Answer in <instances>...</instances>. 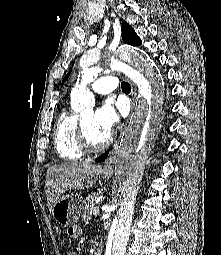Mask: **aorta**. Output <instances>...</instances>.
Masks as SVG:
<instances>
[{"label":"aorta","mask_w":221,"mask_h":255,"mask_svg":"<svg viewBox=\"0 0 221 255\" xmlns=\"http://www.w3.org/2000/svg\"><path fill=\"white\" fill-rule=\"evenodd\" d=\"M81 63V81L76 83L70 94L71 107L75 112H93L95 99L87 85L93 82L104 68H128L141 94L135 129L124 137L115 163V182L121 203L108 235L107 255H125L134 203L161 105L160 83L155 76L153 63L135 48L125 47L115 54L102 56L89 53L82 58Z\"/></svg>","instance_id":"obj_1"}]
</instances>
